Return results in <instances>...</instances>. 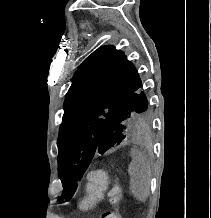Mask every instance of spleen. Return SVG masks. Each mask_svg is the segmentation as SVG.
<instances>
[{"label": "spleen", "mask_w": 211, "mask_h": 218, "mask_svg": "<svg viewBox=\"0 0 211 218\" xmlns=\"http://www.w3.org/2000/svg\"><path fill=\"white\" fill-rule=\"evenodd\" d=\"M132 162L128 166L130 190L139 202H146L150 194V170L141 152H131Z\"/></svg>", "instance_id": "1"}]
</instances>
